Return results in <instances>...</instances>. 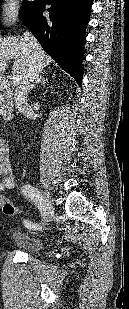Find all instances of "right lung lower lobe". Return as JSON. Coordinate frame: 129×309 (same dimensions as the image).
<instances>
[{"label": "right lung lower lobe", "instance_id": "obj_1", "mask_svg": "<svg viewBox=\"0 0 129 309\" xmlns=\"http://www.w3.org/2000/svg\"><path fill=\"white\" fill-rule=\"evenodd\" d=\"M46 4L49 16L42 12ZM91 0H38L24 18L43 50L80 85L82 43L89 21Z\"/></svg>", "mask_w": 129, "mask_h": 309}]
</instances>
